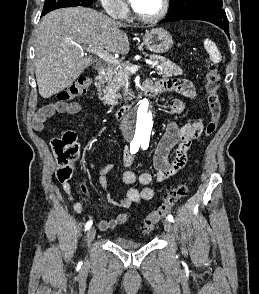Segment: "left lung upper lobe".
Here are the masks:
<instances>
[{"instance_id": "1", "label": "left lung upper lobe", "mask_w": 259, "mask_h": 294, "mask_svg": "<svg viewBox=\"0 0 259 294\" xmlns=\"http://www.w3.org/2000/svg\"><path fill=\"white\" fill-rule=\"evenodd\" d=\"M222 8V0H171V12L168 16H175L201 7Z\"/></svg>"}]
</instances>
